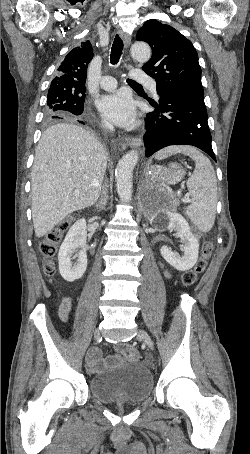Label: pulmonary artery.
<instances>
[{
	"instance_id": "pulmonary-artery-1",
	"label": "pulmonary artery",
	"mask_w": 250,
	"mask_h": 454,
	"mask_svg": "<svg viewBox=\"0 0 250 454\" xmlns=\"http://www.w3.org/2000/svg\"><path fill=\"white\" fill-rule=\"evenodd\" d=\"M131 78L139 83L148 85L154 94L157 93V86L155 80L146 73L135 70L131 73ZM117 85H118L117 80L112 76H104L100 80V87L106 91H112L116 89Z\"/></svg>"
}]
</instances>
